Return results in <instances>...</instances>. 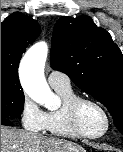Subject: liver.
I'll use <instances>...</instances> for the list:
<instances>
[{"label":"liver","instance_id":"liver-1","mask_svg":"<svg viewBox=\"0 0 123 152\" xmlns=\"http://www.w3.org/2000/svg\"><path fill=\"white\" fill-rule=\"evenodd\" d=\"M1 152H85V150L70 141L1 126Z\"/></svg>","mask_w":123,"mask_h":152}]
</instances>
